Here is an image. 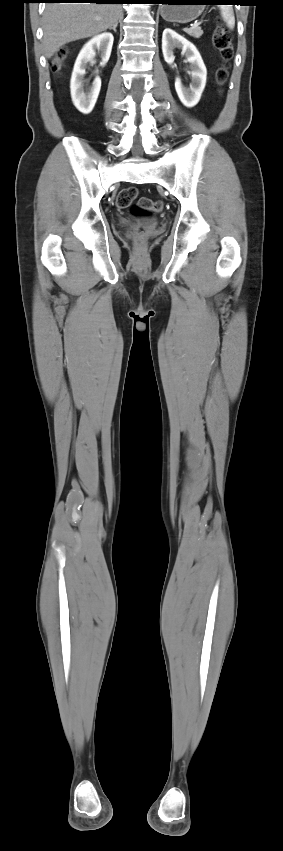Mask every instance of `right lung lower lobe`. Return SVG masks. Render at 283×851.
Returning a JSON list of instances; mask_svg holds the SVG:
<instances>
[{"label": "right lung lower lobe", "mask_w": 283, "mask_h": 851, "mask_svg": "<svg viewBox=\"0 0 283 851\" xmlns=\"http://www.w3.org/2000/svg\"><path fill=\"white\" fill-rule=\"evenodd\" d=\"M44 2H55V3H68V2H79V3H97V4H123V3H133L132 0H44Z\"/></svg>", "instance_id": "1"}]
</instances>
